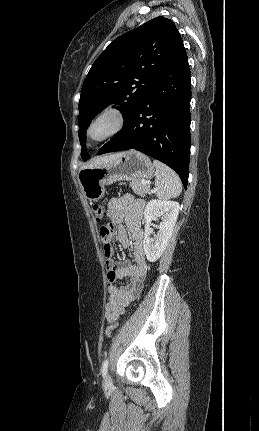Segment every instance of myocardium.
Here are the masks:
<instances>
[{"mask_svg":"<svg viewBox=\"0 0 259 431\" xmlns=\"http://www.w3.org/2000/svg\"><path fill=\"white\" fill-rule=\"evenodd\" d=\"M110 121L109 129L100 137H93L94 126L102 120ZM126 115L124 110L116 103H110L100 108L90 119L86 128V137L90 142L102 143L116 136L125 126Z\"/></svg>","mask_w":259,"mask_h":431,"instance_id":"f54148a6","label":"myocardium"}]
</instances>
